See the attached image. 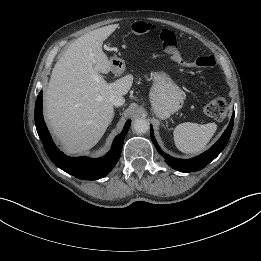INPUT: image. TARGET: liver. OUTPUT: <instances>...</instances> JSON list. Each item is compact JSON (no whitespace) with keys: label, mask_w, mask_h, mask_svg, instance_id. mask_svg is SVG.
<instances>
[{"label":"liver","mask_w":261,"mask_h":261,"mask_svg":"<svg viewBox=\"0 0 261 261\" xmlns=\"http://www.w3.org/2000/svg\"><path fill=\"white\" fill-rule=\"evenodd\" d=\"M108 27L75 40L55 64L45 91V116L57 139L70 153H81L97 144L110 125L114 107L111 95H126L132 86L127 75L107 83L101 74L111 71L103 52Z\"/></svg>","instance_id":"1"}]
</instances>
